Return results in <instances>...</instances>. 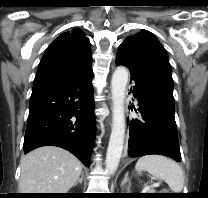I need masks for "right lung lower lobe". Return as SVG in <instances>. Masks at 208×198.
Listing matches in <instances>:
<instances>
[{
    "label": "right lung lower lobe",
    "instance_id": "98d812e1",
    "mask_svg": "<svg viewBox=\"0 0 208 198\" xmlns=\"http://www.w3.org/2000/svg\"><path fill=\"white\" fill-rule=\"evenodd\" d=\"M92 70L61 88L31 95L23 149L58 146L89 166L95 133Z\"/></svg>",
    "mask_w": 208,
    "mask_h": 198
}]
</instances>
